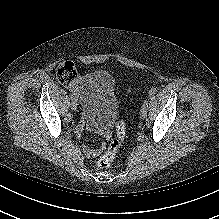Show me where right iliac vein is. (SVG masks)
<instances>
[{
	"instance_id": "right-iliac-vein-1",
	"label": "right iliac vein",
	"mask_w": 219,
	"mask_h": 219,
	"mask_svg": "<svg viewBox=\"0 0 219 219\" xmlns=\"http://www.w3.org/2000/svg\"><path fill=\"white\" fill-rule=\"evenodd\" d=\"M77 101L73 98L72 100H71V103H70V106H71V109L72 110H74V111H76L77 110Z\"/></svg>"
}]
</instances>
